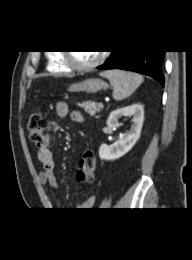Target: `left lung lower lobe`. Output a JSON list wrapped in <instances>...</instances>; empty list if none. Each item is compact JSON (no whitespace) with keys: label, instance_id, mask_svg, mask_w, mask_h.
I'll return each mask as SVG.
<instances>
[{"label":"left lung lower lobe","instance_id":"obj_1","mask_svg":"<svg viewBox=\"0 0 192 260\" xmlns=\"http://www.w3.org/2000/svg\"><path fill=\"white\" fill-rule=\"evenodd\" d=\"M164 57L165 51L161 50L114 51L104 64L98 66V69H123L138 72L154 78L164 86V75L162 72Z\"/></svg>","mask_w":192,"mask_h":260}]
</instances>
